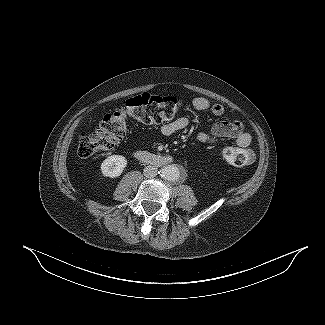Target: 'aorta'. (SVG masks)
<instances>
[{"instance_id": "762f6f07", "label": "aorta", "mask_w": 325, "mask_h": 325, "mask_svg": "<svg viewBox=\"0 0 325 325\" xmlns=\"http://www.w3.org/2000/svg\"><path fill=\"white\" fill-rule=\"evenodd\" d=\"M159 173L161 177L168 181H177L181 176L180 169L175 165L164 166Z\"/></svg>"}]
</instances>
